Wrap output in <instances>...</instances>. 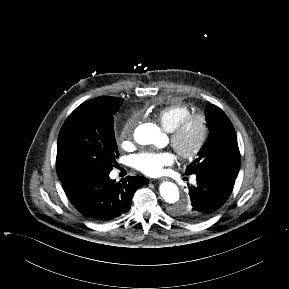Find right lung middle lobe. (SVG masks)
Masks as SVG:
<instances>
[{
	"instance_id": "dd1d6c3e",
	"label": "right lung middle lobe",
	"mask_w": 289,
	"mask_h": 289,
	"mask_svg": "<svg viewBox=\"0 0 289 289\" xmlns=\"http://www.w3.org/2000/svg\"><path fill=\"white\" fill-rule=\"evenodd\" d=\"M124 99L97 97L78 106L64 122L57 145V174L62 183L108 175L119 152L113 118Z\"/></svg>"
}]
</instances>
